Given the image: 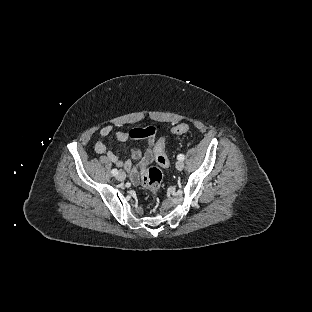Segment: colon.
Listing matches in <instances>:
<instances>
[{
	"label": "colon",
	"mask_w": 312,
	"mask_h": 312,
	"mask_svg": "<svg viewBox=\"0 0 312 312\" xmlns=\"http://www.w3.org/2000/svg\"><path fill=\"white\" fill-rule=\"evenodd\" d=\"M190 130V127L186 123H182L180 125L174 124L171 126L170 131L172 134H186ZM156 133L155 127L149 126L144 129H142L140 132H138V136L141 137H149ZM157 162L160 166H167L168 165V159L166 155H160L157 157ZM141 185L150 193L157 194L158 191L162 187L163 183V174L161 170L158 167H150L146 170H143L141 174Z\"/></svg>",
	"instance_id": "5ec220e1"
}]
</instances>
